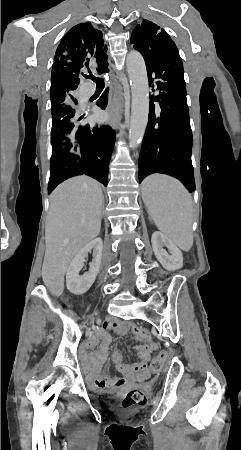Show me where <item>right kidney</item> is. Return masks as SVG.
Listing matches in <instances>:
<instances>
[{
  "label": "right kidney",
  "instance_id": "ca27d5eb",
  "mask_svg": "<svg viewBox=\"0 0 241 450\" xmlns=\"http://www.w3.org/2000/svg\"><path fill=\"white\" fill-rule=\"evenodd\" d=\"M103 242L101 238H95L89 244H86L84 248H81L80 252H77L75 258H73L66 274V286L69 292L72 294H85L89 288H91L93 282L96 280V276L99 272L101 258H102ZM89 252H92L93 260L90 262V270L87 274L79 276L80 270H82Z\"/></svg>",
  "mask_w": 241,
  "mask_h": 450
}]
</instances>
